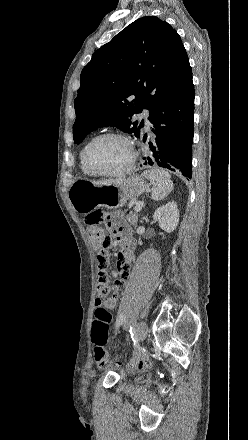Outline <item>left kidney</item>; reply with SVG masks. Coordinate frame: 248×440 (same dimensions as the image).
<instances>
[{"instance_id": "left-kidney-1", "label": "left kidney", "mask_w": 248, "mask_h": 440, "mask_svg": "<svg viewBox=\"0 0 248 440\" xmlns=\"http://www.w3.org/2000/svg\"><path fill=\"white\" fill-rule=\"evenodd\" d=\"M153 219L159 223L161 229L167 233L173 232L179 222V210L177 204L172 201L159 207L154 215Z\"/></svg>"}]
</instances>
